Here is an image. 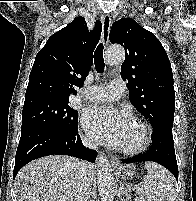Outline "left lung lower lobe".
I'll list each match as a JSON object with an SVG mask.
<instances>
[{"instance_id":"1","label":"left lung lower lobe","mask_w":196,"mask_h":201,"mask_svg":"<svg viewBox=\"0 0 196 201\" xmlns=\"http://www.w3.org/2000/svg\"><path fill=\"white\" fill-rule=\"evenodd\" d=\"M153 161L166 167L178 180V166L174 150L172 127L153 131V141L150 149L132 158L123 159V163Z\"/></svg>"}]
</instances>
